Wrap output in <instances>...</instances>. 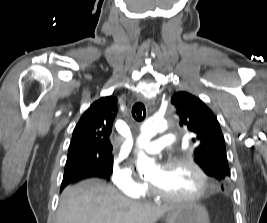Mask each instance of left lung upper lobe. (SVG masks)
Here are the masks:
<instances>
[{
  "instance_id": "obj_1",
  "label": "left lung upper lobe",
  "mask_w": 267,
  "mask_h": 223,
  "mask_svg": "<svg viewBox=\"0 0 267 223\" xmlns=\"http://www.w3.org/2000/svg\"><path fill=\"white\" fill-rule=\"evenodd\" d=\"M180 117V126L194 134V161L210 177L226 182L230 177L224 137L217 118L197 97L178 92L171 98Z\"/></svg>"
}]
</instances>
